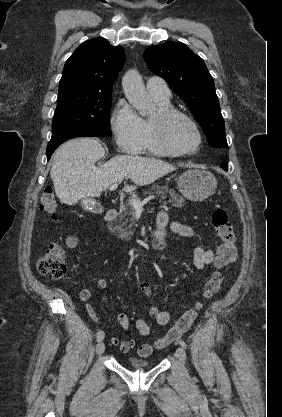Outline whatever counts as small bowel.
I'll return each instance as SVG.
<instances>
[{"mask_svg":"<svg viewBox=\"0 0 282 417\" xmlns=\"http://www.w3.org/2000/svg\"><path fill=\"white\" fill-rule=\"evenodd\" d=\"M178 236L184 238H197L199 237V233L193 227L183 224L178 221L170 222L169 216L166 211H160L157 214L156 218V229L154 231V235H158L159 237L155 239V244H160L164 242L165 244V237L167 235V229ZM78 242V237L70 236L67 238L66 244L69 248L75 247ZM155 248V246L153 244ZM217 261V255L211 249L203 248L202 246L195 247L193 251V263L194 266L198 270H202L205 266L209 264H213ZM185 277V274H182ZM108 286V281L104 277H99L93 288H84L80 291V298L81 300L87 302L86 304V312L89 317L96 323L99 322L98 315L89 300L91 299L95 290H103ZM134 288L138 291H141L150 305V316L151 319L160 326H168L170 323H174V316L172 313L168 311H159L155 308L154 302L156 293L154 288L147 282L139 281L134 284ZM181 318V317H180ZM117 321L121 328L125 331L129 330L131 327V322L129 317L125 313H120L117 316ZM135 328L139 335L141 336H148L151 332V324L147 319L139 318L134 323ZM111 344L117 346L119 350L123 353H127L136 347V341L133 338L130 339H121L117 336H114L110 339ZM145 344V343H144Z\"/></svg>","mask_w":282,"mask_h":417,"instance_id":"1","label":"small bowel"}]
</instances>
